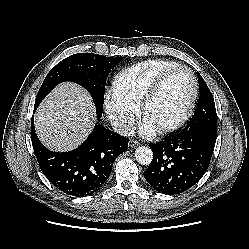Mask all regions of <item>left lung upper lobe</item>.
<instances>
[{"mask_svg": "<svg viewBox=\"0 0 249 249\" xmlns=\"http://www.w3.org/2000/svg\"><path fill=\"white\" fill-rule=\"evenodd\" d=\"M200 97L194 115L183 129L192 130L197 128H207L216 130L217 127V114L214 103V98L203 80L202 76L198 73Z\"/></svg>", "mask_w": 249, "mask_h": 249, "instance_id": "5c2ea615", "label": "left lung upper lobe"}]
</instances>
